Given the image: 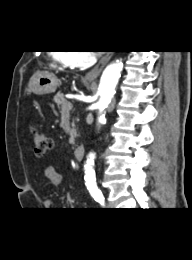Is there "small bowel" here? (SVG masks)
<instances>
[{
    "instance_id": "obj_1",
    "label": "small bowel",
    "mask_w": 192,
    "mask_h": 260,
    "mask_svg": "<svg viewBox=\"0 0 192 260\" xmlns=\"http://www.w3.org/2000/svg\"><path fill=\"white\" fill-rule=\"evenodd\" d=\"M45 178L55 187H59L62 183V176L58 168L54 165H49L45 169ZM43 204L46 208H50L52 206V201L50 199H43Z\"/></svg>"
}]
</instances>
